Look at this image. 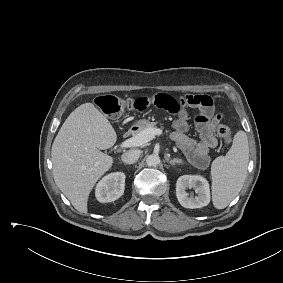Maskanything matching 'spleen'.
I'll return each instance as SVG.
<instances>
[{
    "label": "spleen",
    "instance_id": "spleen-1",
    "mask_svg": "<svg viewBox=\"0 0 283 283\" xmlns=\"http://www.w3.org/2000/svg\"><path fill=\"white\" fill-rule=\"evenodd\" d=\"M248 161V138L240 130L235 134L228 153L212 162L211 190L216 209H224L238 195L246 179Z\"/></svg>",
    "mask_w": 283,
    "mask_h": 283
}]
</instances>
